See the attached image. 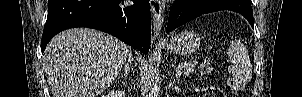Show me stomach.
<instances>
[{
    "label": "stomach",
    "instance_id": "1",
    "mask_svg": "<svg viewBox=\"0 0 302 97\" xmlns=\"http://www.w3.org/2000/svg\"><path fill=\"white\" fill-rule=\"evenodd\" d=\"M200 41V35L194 31H182L170 38L166 48L174 54L189 56L198 49Z\"/></svg>",
    "mask_w": 302,
    "mask_h": 97
}]
</instances>
